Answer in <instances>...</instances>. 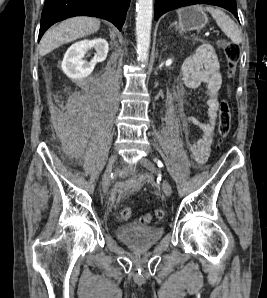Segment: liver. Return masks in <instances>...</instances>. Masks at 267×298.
I'll use <instances>...</instances> for the list:
<instances>
[{
    "instance_id": "liver-1",
    "label": "liver",
    "mask_w": 267,
    "mask_h": 298,
    "mask_svg": "<svg viewBox=\"0 0 267 298\" xmlns=\"http://www.w3.org/2000/svg\"><path fill=\"white\" fill-rule=\"evenodd\" d=\"M99 28L100 21L92 17L67 19L46 31L40 41V55L45 56L63 44L91 35Z\"/></svg>"
}]
</instances>
